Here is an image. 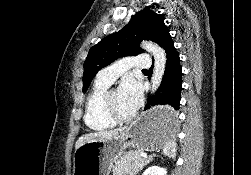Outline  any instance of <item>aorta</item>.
I'll list each match as a JSON object with an SVG mask.
<instances>
[{"label": "aorta", "mask_w": 251, "mask_h": 175, "mask_svg": "<svg viewBox=\"0 0 251 175\" xmlns=\"http://www.w3.org/2000/svg\"><path fill=\"white\" fill-rule=\"evenodd\" d=\"M141 48L154 56V70L151 78V91L154 93L159 88L164 76L167 60L165 50L153 42H142Z\"/></svg>", "instance_id": "1"}]
</instances>
